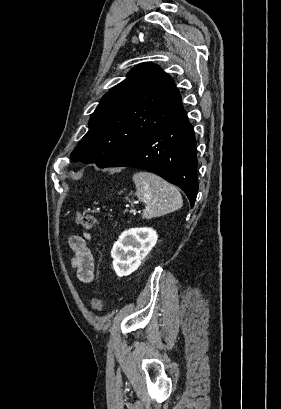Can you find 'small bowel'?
Masks as SVG:
<instances>
[{
    "instance_id": "1",
    "label": "small bowel",
    "mask_w": 281,
    "mask_h": 409,
    "mask_svg": "<svg viewBox=\"0 0 281 409\" xmlns=\"http://www.w3.org/2000/svg\"><path fill=\"white\" fill-rule=\"evenodd\" d=\"M88 235H72L69 244L72 250L71 266L77 278L85 283H92L95 277L94 256L87 245Z\"/></svg>"
}]
</instances>
